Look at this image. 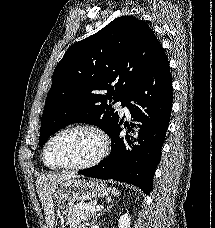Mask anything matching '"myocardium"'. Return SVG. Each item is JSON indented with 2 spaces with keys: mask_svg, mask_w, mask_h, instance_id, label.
<instances>
[{
  "mask_svg": "<svg viewBox=\"0 0 215 228\" xmlns=\"http://www.w3.org/2000/svg\"><path fill=\"white\" fill-rule=\"evenodd\" d=\"M72 130H88L93 132L98 137L100 142V148L98 152L91 159L83 163L61 166V167L51 166L47 161V151L50 144L61 134ZM109 148H110L109 138L107 134L99 126L90 124V123H75L58 130L47 140L42 151V161L48 169L53 171L84 170L99 164L107 155Z\"/></svg>",
  "mask_w": 215,
  "mask_h": 228,
  "instance_id": "obj_1",
  "label": "myocardium"
}]
</instances>
